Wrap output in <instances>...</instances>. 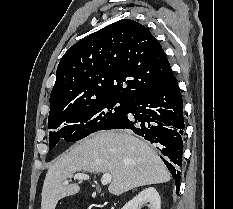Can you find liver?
Wrapping results in <instances>:
<instances>
[{"label":"liver","instance_id":"6515ba94","mask_svg":"<svg viewBox=\"0 0 233 209\" xmlns=\"http://www.w3.org/2000/svg\"><path fill=\"white\" fill-rule=\"evenodd\" d=\"M79 171L111 174L108 191L117 196L171 179L170 172L147 143L129 132L102 131L74 145L49 168L41 193V209H55L60 199L77 194L78 184L64 182Z\"/></svg>","mask_w":233,"mask_h":209}]
</instances>
